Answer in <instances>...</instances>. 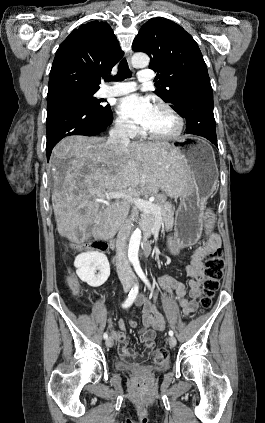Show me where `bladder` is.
<instances>
[{"label":"bladder","mask_w":265,"mask_h":423,"mask_svg":"<svg viewBox=\"0 0 265 423\" xmlns=\"http://www.w3.org/2000/svg\"><path fill=\"white\" fill-rule=\"evenodd\" d=\"M116 367L121 369V370H126V371H134V370H143L146 369L144 366L141 365H135L132 363H129L127 361L124 360H118L116 362ZM150 370H154V369H158V367L156 368H149Z\"/></svg>","instance_id":"1"}]
</instances>
